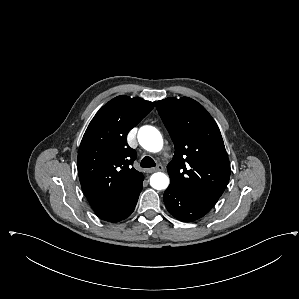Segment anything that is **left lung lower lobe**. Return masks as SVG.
<instances>
[{
	"label": "left lung lower lobe",
	"mask_w": 299,
	"mask_h": 299,
	"mask_svg": "<svg viewBox=\"0 0 299 299\" xmlns=\"http://www.w3.org/2000/svg\"><path fill=\"white\" fill-rule=\"evenodd\" d=\"M163 200L169 213L183 222L195 221L212 208L171 184L166 189Z\"/></svg>",
	"instance_id": "obj_1"
}]
</instances>
